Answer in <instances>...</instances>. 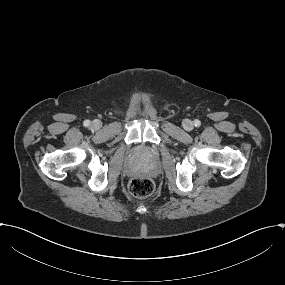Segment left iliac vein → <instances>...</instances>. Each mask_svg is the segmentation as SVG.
Listing matches in <instances>:
<instances>
[{"instance_id":"obj_1","label":"left iliac vein","mask_w":285,"mask_h":285,"mask_svg":"<svg viewBox=\"0 0 285 285\" xmlns=\"http://www.w3.org/2000/svg\"><path fill=\"white\" fill-rule=\"evenodd\" d=\"M182 124L185 130L193 129V122L189 119H184Z\"/></svg>"}]
</instances>
